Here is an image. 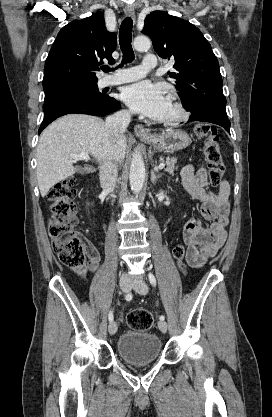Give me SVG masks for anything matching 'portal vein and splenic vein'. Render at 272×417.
Listing matches in <instances>:
<instances>
[{
  "label": "portal vein and splenic vein",
  "mask_w": 272,
  "mask_h": 417,
  "mask_svg": "<svg viewBox=\"0 0 272 417\" xmlns=\"http://www.w3.org/2000/svg\"><path fill=\"white\" fill-rule=\"evenodd\" d=\"M71 158L74 159L75 161H79V160L88 161L90 159L87 152H81L79 154H71ZM164 167H165V164L161 163V164H159V166L157 168L161 170Z\"/></svg>",
  "instance_id": "portal-vein-and-splenic-vein-1"
}]
</instances>
